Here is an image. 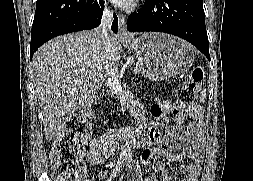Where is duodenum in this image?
I'll return each mask as SVG.
<instances>
[{
  "instance_id": "410a0bca",
  "label": "duodenum",
  "mask_w": 253,
  "mask_h": 181,
  "mask_svg": "<svg viewBox=\"0 0 253 181\" xmlns=\"http://www.w3.org/2000/svg\"><path fill=\"white\" fill-rule=\"evenodd\" d=\"M91 103H92V101H89V102H87L85 105H83L82 111H83L84 113L88 114V112H89V107H90ZM129 134H130V132H128V131H126V130H124V129L116 130V131L114 132V136H115V137L129 136Z\"/></svg>"
}]
</instances>
